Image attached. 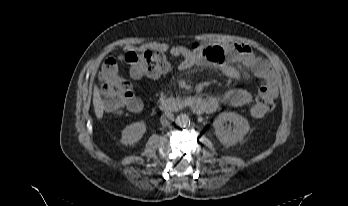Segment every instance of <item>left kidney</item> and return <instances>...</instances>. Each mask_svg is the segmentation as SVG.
Returning <instances> with one entry per match:
<instances>
[{
	"label": "left kidney",
	"mask_w": 348,
	"mask_h": 206,
	"mask_svg": "<svg viewBox=\"0 0 348 206\" xmlns=\"http://www.w3.org/2000/svg\"><path fill=\"white\" fill-rule=\"evenodd\" d=\"M227 121L233 124L232 130L224 125ZM213 126L216 137L226 146H232L242 141L250 130L248 121L234 112L220 113L214 119Z\"/></svg>",
	"instance_id": "left-kidney-1"
}]
</instances>
